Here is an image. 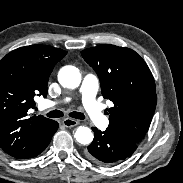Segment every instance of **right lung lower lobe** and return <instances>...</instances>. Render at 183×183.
<instances>
[{
  "instance_id": "98d812e1",
  "label": "right lung lower lobe",
  "mask_w": 183,
  "mask_h": 183,
  "mask_svg": "<svg viewBox=\"0 0 183 183\" xmlns=\"http://www.w3.org/2000/svg\"><path fill=\"white\" fill-rule=\"evenodd\" d=\"M57 129H58V123L54 121L50 129L48 130V132L45 134L44 138L40 141L37 148L34 150L33 154L29 158H33L37 156L38 154H40L42 151L46 149V147L51 141L52 136L57 131Z\"/></svg>"
}]
</instances>
